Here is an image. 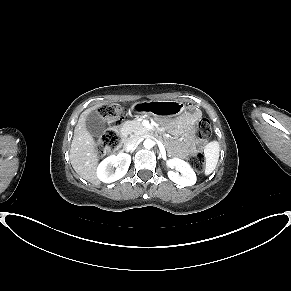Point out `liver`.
<instances>
[{"instance_id": "6515ba94", "label": "liver", "mask_w": 291, "mask_h": 291, "mask_svg": "<svg viewBox=\"0 0 291 291\" xmlns=\"http://www.w3.org/2000/svg\"><path fill=\"white\" fill-rule=\"evenodd\" d=\"M90 110L84 111L74 130L70 148V161L76 173L83 179L95 185L99 184L96 177L98 155L95 141L88 132L85 122Z\"/></svg>"}]
</instances>
